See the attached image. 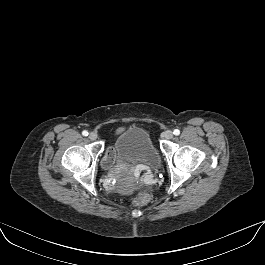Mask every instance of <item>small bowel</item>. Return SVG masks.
I'll list each match as a JSON object with an SVG mask.
<instances>
[{
    "label": "small bowel",
    "instance_id": "obj_1",
    "mask_svg": "<svg viewBox=\"0 0 265 265\" xmlns=\"http://www.w3.org/2000/svg\"><path fill=\"white\" fill-rule=\"evenodd\" d=\"M112 156H111V151L109 150L107 152V155L104 158V165L105 166H109L110 162H111Z\"/></svg>",
    "mask_w": 265,
    "mask_h": 265
}]
</instances>
